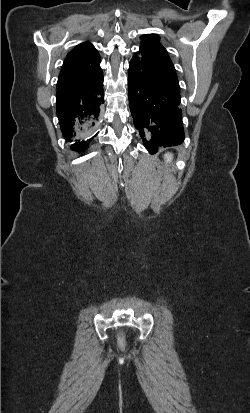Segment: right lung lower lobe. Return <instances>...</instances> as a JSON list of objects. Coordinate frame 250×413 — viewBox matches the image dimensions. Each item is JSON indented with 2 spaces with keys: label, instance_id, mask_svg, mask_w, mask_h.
Instances as JSON below:
<instances>
[{
  "label": "right lung lower lobe",
  "instance_id": "obj_1",
  "mask_svg": "<svg viewBox=\"0 0 250 413\" xmlns=\"http://www.w3.org/2000/svg\"><path fill=\"white\" fill-rule=\"evenodd\" d=\"M104 102L103 74L74 86L57 87L56 108L62 134L72 150H85L95 137L94 130Z\"/></svg>",
  "mask_w": 250,
  "mask_h": 413
}]
</instances>
